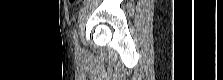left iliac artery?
Returning a JSON list of instances; mask_svg holds the SVG:
<instances>
[{
    "label": "left iliac artery",
    "mask_w": 223,
    "mask_h": 80,
    "mask_svg": "<svg viewBox=\"0 0 223 80\" xmlns=\"http://www.w3.org/2000/svg\"><path fill=\"white\" fill-rule=\"evenodd\" d=\"M73 38H74L75 49L76 50H79V42H78V37H77L76 29L73 30Z\"/></svg>",
    "instance_id": "left-iliac-artery-1"
}]
</instances>
